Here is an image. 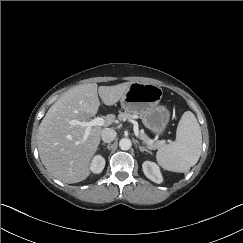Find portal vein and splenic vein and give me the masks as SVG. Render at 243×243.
Listing matches in <instances>:
<instances>
[{
	"mask_svg": "<svg viewBox=\"0 0 243 243\" xmlns=\"http://www.w3.org/2000/svg\"><path fill=\"white\" fill-rule=\"evenodd\" d=\"M130 122L134 123V134L138 139H140L139 131L136 123L133 120H130ZM69 123L73 126H81L85 128V133L81 140V142H85L90 134L92 127L105 125V119L102 117H97L92 119L91 121L70 120Z\"/></svg>",
	"mask_w": 243,
	"mask_h": 243,
	"instance_id": "obj_1",
	"label": "portal vein and splenic vein"
}]
</instances>
